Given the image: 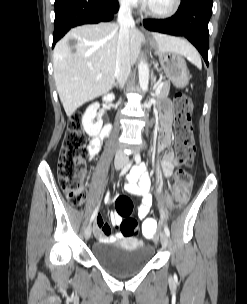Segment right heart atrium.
<instances>
[{
  "instance_id": "right-heart-atrium-1",
  "label": "right heart atrium",
  "mask_w": 247,
  "mask_h": 304,
  "mask_svg": "<svg viewBox=\"0 0 247 304\" xmlns=\"http://www.w3.org/2000/svg\"><path fill=\"white\" fill-rule=\"evenodd\" d=\"M118 2L125 8H135L139 4V0H118Z\"/></svg>"
}]
</instances>
